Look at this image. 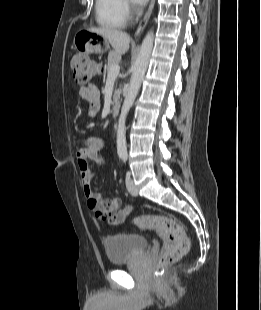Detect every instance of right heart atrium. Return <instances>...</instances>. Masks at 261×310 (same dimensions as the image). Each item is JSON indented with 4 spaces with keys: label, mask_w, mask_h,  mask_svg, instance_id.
<instances>
[{
    "label": "right heart atrium",
    "mask_w": 261,
    "mask_h": 310,
    "mask_svg": "<svg viewBox=\"0 0 261 310\" xmlns=\"http://www.w3.org/2000/svg\"><path fill=\"white\" fill-rule=\"evenodd\" d=\"M123 9H124L127 16L131 13V7H130L129 3L126 1L123 2Z\"/></svg>",
    "instance_id": "1"
}]
</instances>
